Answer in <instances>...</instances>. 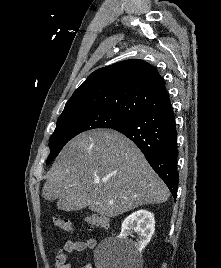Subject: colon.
I'll list each match as a JSON object with an SVG mask.
<instances>
[{"label":"colon","instance_id":"colon-1","mask_svg":"<svg viewBox=\"0 0 221 268\" xmlns=\"http://www.w3.org/2000/svg\"><path fill=\"white\" fill-rule=\"evenodd\" d=\"M52 220H53L54 225L60 230L65 231V232L73 231V226L68 219L55 215L52 217ZM86 223L89 229H94V228L107 229L110 226L109 219L99 214H93V215L88 216L86 218Z\"/></svg>","mask_w":221,"mask_h":268}]
</instances>
